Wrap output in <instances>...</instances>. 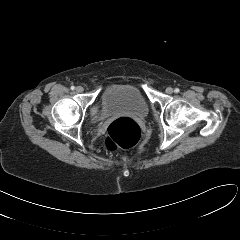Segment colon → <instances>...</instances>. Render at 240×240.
I'll return each instance as SVG.
<instances>
[{"mask_svg": "<svg viewBox=\"0 0 240 240\" xmlns=\"http://www.w3.org/2000/svg\"><path fill=\"white\" fill-rule=\"evenodd\" d=\"M141 137L139 125L130 118H120L113 121L102 140L106 151L126 149L134 146Z\"/></svg>", "mask_w": 240, "mask_h": 240, "instance_id": "1", "label": "colon"}]
</instances>
